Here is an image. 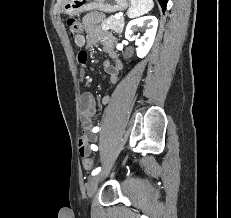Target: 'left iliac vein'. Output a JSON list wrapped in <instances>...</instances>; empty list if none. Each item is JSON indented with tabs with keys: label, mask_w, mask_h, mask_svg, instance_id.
<instances>
[{
	"label": "left iliac vein",
	"mask_w": 231,
	"mask_h": 218,
	"mask_svg": "<svg viewBox=\"0 0 231 218\" xmlns=\"http://www.w3.org/2000/svg\"><path fill=\"white\" fill-rule=\"evenodd\" d=\"M101 175L102 174H97V175H94V176L89 178V180L87 182V195H88V197H92L94 195V193L96 192L97 187H98V183L101 179Z\"/></svg>",
	"instance_id": "left-iliac-vein-1"
}]
</instances>
